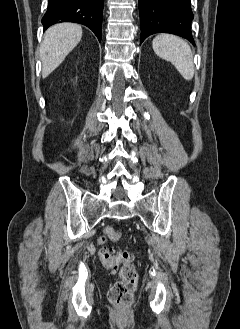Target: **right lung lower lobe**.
<instances>
[{
  "label": "right lung lower lobe",
  "instance_id": "right-lung-lower-lobe-1",
  "mask_svg": "<svg viewBox=\"0 0 240 329\" xmlns=\"http://www.w3.org/2000/svg\"><path fill=\"white\" fill-rule=\"evenodd\" d=\"M104 0H49L42 18L44 29L60 22L80 23L89 27L101 41Z\"/></svg>",
  "mask_w": 240,
  "mask_h": 329
}]
</instances>
